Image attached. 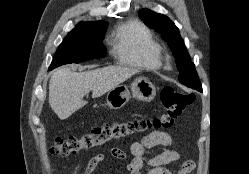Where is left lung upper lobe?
<instances>
[{"instance_id": "obj_1", "label": "left lung upper lobe", "mask_w": 249, "mask_h": 174, "mask_svg": "<svg viewBox=\"0 0 249 174\" xmlns=\"http://www.w3.org/2000/svg\"><path fill=\"white\" fill-rule=\"evenodd\" d=\"M138 13L144 23L160 33L162 39L168 43L174 57L176 58L177 68L180 72L179 81L187 87L195 90L199 91L202 89L195 70V65L191 62L184 41L175 24L163 14H157L149 9H142Z\"/></svg>"}]
</instances>
